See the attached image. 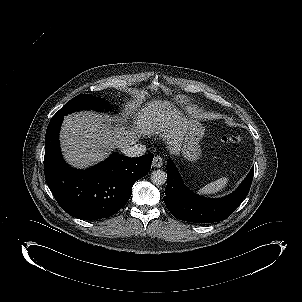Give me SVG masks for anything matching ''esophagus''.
I'll return each mask as SVG.
<instances>
[{
	"label": "esophagus",
	"mask_w": 302,
	"mask_h": 302,
	"mask_svg": "<svg viewBox=\"0 0 302 302\" xmlns=\"http://www.w3.org/2000/svg\"><path fill=\"white\" fill-rule=\"evenodd\" d=\"M152 166L156 167V168H160L163 166V159L161 156L157 155L154 157L153 162H152Z\"/></svg>",
	"instance_id": "obj_1"
}]
</instances>
